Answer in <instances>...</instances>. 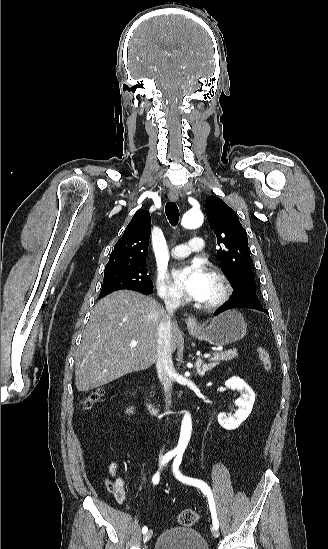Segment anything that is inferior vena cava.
<instances>
[{
  "label": "inferior vena cava",
  "mask_w": 328,
  "mask_h": 549,
  "mask_svg": "<svg viewBox=\"0 0 328 549\" xmlns=\"http://www.w3.org/2000/svg\"><path fill=\"white\" fill-rule=\"evenodd\" d=\"M165 309L167 319L160 325L157 341V371L163 385V391L166 393V403H171L170 391L172 389V373L174 371L172 361L171 345V325L170 321L181 305L179 299H165ZM168 407V405H167Z\"/></svg>",
  "instance_id": "obj_1"
}]
</instances>
